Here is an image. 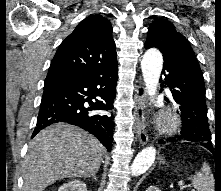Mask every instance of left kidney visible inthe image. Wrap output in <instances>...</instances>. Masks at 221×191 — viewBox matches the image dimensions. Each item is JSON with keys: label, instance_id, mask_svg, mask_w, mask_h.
Returning a JSON list of instances; mask_svg holds the SVG:
<instances>
[{"label": "left kidney", "instance_id": "1", "mask_svg": "<svg viewBox=\"0 0 221 191\" xmlns=\"http://www.w3.org/2000/svg\"><path fill=\"white\" fill-rule=\"evenodd\" d=\"M146 191H161V190L156 186H150L148 189H146Z\"/></svg>", "mask_w": 221, "mask_h": 191}]
</instances>
